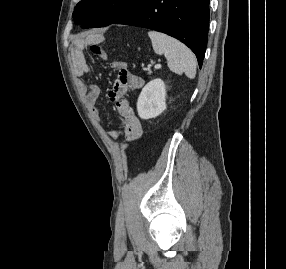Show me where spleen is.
<instances>
[{
  "instance_id": "spleen-1",
  "label": "spleen",
  "mask_w": 286,
  "mask_h": 269,
  "mask_svg": "<svg viewBox=\"0 0 286 269\" xmlns=\"http://www.w3.org/2000/svg\"><path fill=\"white\" fill-rule=\"evenodd\" d=\"M155 53L164 55L168 67L178 75L183 73L189 78L196 76V58L193 52L180 41L157 31H149Z\"/></svg>"
}]
</instances>
